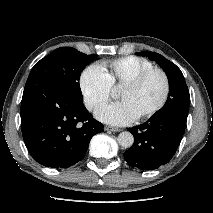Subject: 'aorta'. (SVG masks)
<instances>
[{
	"label": "aorta",
	"mask_w": 213,
	"mask_h": 213,
	"mask_svg": "<svg viewBox=\"0 0 213 213\" xmlns=\"http://www.w3.org/2000/svg\"><path fill=\"white\" fill-rule=\"evenodd\" d=\"M118 143H119L120 146H122L124 148H129L134 143V137L128 131L121 132L118 136Z\"/></svg>",
	"instance_id": "1"
}]
</instances>
